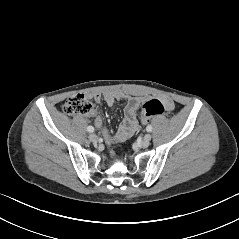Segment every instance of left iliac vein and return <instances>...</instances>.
<instances>
[{
    "mask_svg": "<svg viewBox=\"0 0 239 239\" xmlns=\"http://www.w3.org/2000/svg\"><path fill=\"white\" fill-rule=\"evenodd\" d=\"M150 141H151V135L147 134V135L144 136L143 140L140 142V146L142 148H146V147L149 146Z\"/></svg>",
    "mask_w": 239,
    "mask_h": 239,
    "instance_id": "obj_1",
    "label": "left iliac vein"
}]
</instances>
